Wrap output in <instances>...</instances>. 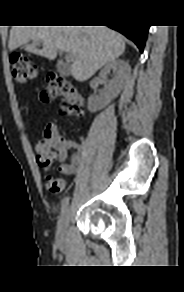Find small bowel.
<instances>
[{
	"label": "small bowel",
	"mask_w": 184,
	"mask_h": 292,
	"mask_svg": "<svg viewBox=\"0 0 184 292\" xmlns=\"http://www.w3.org/2000/svg\"><path fill=\"white\" fill-rule=\"evenodd\" d=\"M56 159L60 162L59 171L64 175L76 174L83 163V147L80 143L62 136L54 128L51 139ZM73 149L71 160L68 161V150Z\"/></svg>",
	"instance_id": "obj_1"
}]
</instances>
